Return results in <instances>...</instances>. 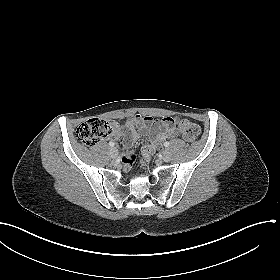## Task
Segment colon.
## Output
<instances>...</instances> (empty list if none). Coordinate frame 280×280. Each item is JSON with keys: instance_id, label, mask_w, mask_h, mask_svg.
Returning <instances> with one entry per match:
<instances>
[{"instance_id": "obj_1", "label": "colon", "mask_w": 280, "mask_h": 280, "mask_svg": "<svg viewBox=\"0 0 280 280\" xmlns=\"http://www.w3.org/2000/svg\"><path fill=\"white\" fill-rule=\"evenodd\" d=\"M176 126L186 141H195L200 136V128L197 124L187 120L179 119ZM117 124L112 120L93 118L82 123L76 130V137L83 144L92 146L99 140L115 133ZM154 148L151 145H145L141 150V158L143 163H148ZM136 159L135 155H126L122 158V165L129 169Z\"/></svg>"}]
</instances>
